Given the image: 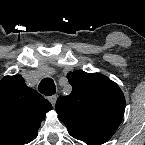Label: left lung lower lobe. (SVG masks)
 I'll return each instance as SVG.
<instances>
[{
    "label": "left lung lower lobe",
    "mask_w": 145,
    "mask_h": 145,
    "mask_svg": "<svg viewBox=\"0 0 145 145\" xmlns=\"http://www.w3.org/2000/svg\"><path fill=\"white\" fill-rule=\"evenodd\" d=\"M116 130L102 128V129H92V128H79L71 127L68 128L69 134L75 139L81 140L88 145H100L107 142Z\"/></svg>",
    "instance_id": "left-lung-lower-lobe-1"
}]
</instances>
